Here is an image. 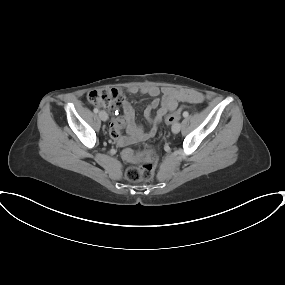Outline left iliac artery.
<instances>
[{
    "mask_svg": "<svg viewBox=\"0 0 285 285\" xmlns=\"http://www.w3.org/2000/svg\"><path fill=\"white\" fill-rule=\"evenodd\" d=\"M183 116H184V117H187V116H188V113H187V112H184V113H183Z\"/></svg>",
    "mask_w": 285,
    "mask_h": 285,
    "instance_id": "44dca946",
    "label": "left iliac artery"
}]
</instances>
